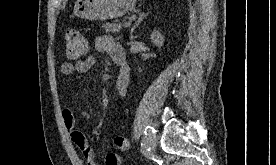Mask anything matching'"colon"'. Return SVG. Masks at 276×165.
<instances>
[{"label":"colon","instance_id":"5ec220e1","mask_svg":"<svg viewBox=\"0 0 276 165\" xmlns=\"http://www.w3.org/2000/svg\"><path fill=\"white\" fill-rule=\"evenodd\" d=\"M65 52L69 59L76 60L87 52L88 44L85 38L75 29H69L64 36ZM113 148L123 152L129 148V140L123 136H116L113 140Z\"/></svg>","mask_w":276,"mask_h":165}]
</instances>
